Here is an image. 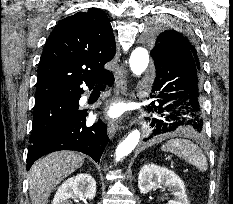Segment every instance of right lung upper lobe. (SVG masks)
I'll return each mask as SVG.
<instances>
[{
    "label": "right lung upper lobe",
    "mask_w": 233,
    "mask_h": 204,
    "mask_svg": "<svg viewBox=\"0 0 233 204\" xmlns=\"http://www.w3.org/2000/svg\"><path fill=\"white\" fill-rule=\"evenodd\" d=\"M116 54V43L106 14L89 8L60 21L43 49L35 102L53 96H81L80 85L93 87L111 74L104 64Z\"/></svg>",
    "instance_id": "right-lung-upper-lobe-1"
}]
</instances>
